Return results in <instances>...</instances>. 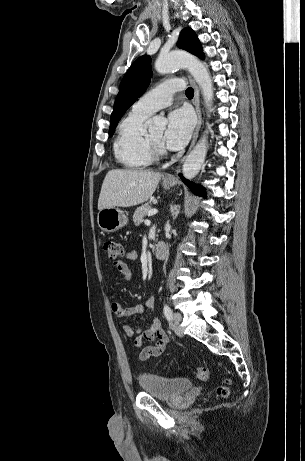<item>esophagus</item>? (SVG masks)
I'll use <instances>...</instances> for the list:
<instances>
[{"label": "esophagus", "mask_w": 305, "mask_h": 461, "mask_svg": "<svg viewBox=\"0 0 305 461\" xmlns=\"http://www.w3.org/2000/svg\"><path fill=\"white\" fill-rule=\"evenodd\" d=\"M189 81H190V84L192 85V87L194 89L193 104L195 106V110H196V113H197V125H196V128H195L194 134H193V138H192L190 148H189V151H190L194 147L195 142H196V140L198 138L199 130H200L201 123H202V116H201V109H200L199 88H198L195 80L191 76H189ZM184 159H185V157H183L181 159L180 163H182L184 161ZM178 169H179V166L177 167V169L175 170L174 173L167 174L164 177V180L165 181H174L175 180V174L178 171Z\"/></svg>", "instance_id": "34e87169"}]
</instances>
